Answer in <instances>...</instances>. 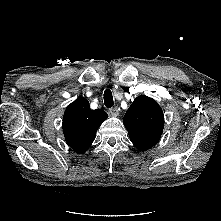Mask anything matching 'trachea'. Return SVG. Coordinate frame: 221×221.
<instances>
[{
  "label": "trachea",
  "mask_w": 221,
  "mask_h": 221,
  "mask_svg": "<svg viewBox=\"0 0 221 221\" xmlns=\"http://www.w3.org/2000/svg\"><path fill=\"white\" fill-rule=\"evenodd\" d=\"M104 104L107 108H111L114 105L112 92L109 89L104 92Z\"/></svg>",
  "instance_id": "trachea-1"
}]
</instances>
